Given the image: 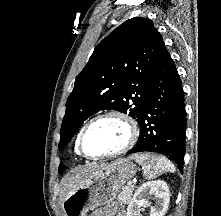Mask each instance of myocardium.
<instances>
[{"instance_id":"1","label":"myocardium","mask_w":221,"mask_h":216,"mask_svg":"<svg viewBox=\"0 0 221 216\" xmlns=\"http://www.w3.org/2000/svg\"><path fill=\"white\" fill-rule=\"evenodd\" d=\"M107 118H115L119 121H121L127 129V139L124 142V144L118 148L117 150L99 154V155H89L86 153L84 150V136L87 132V130L97 121L107 119ZM139 136V127L136 122V120L131 117L129 114L126 112L120 111V110H109L104 113H101L93 118H91L82 128L78 139H77V148L80 154H82L84 157L88 159H103V158H109V157H114L120 154L125 153L128 151L137 141Z\"/></svg>"}]
</instances>
